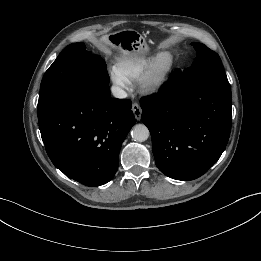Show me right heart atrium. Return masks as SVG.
Wrapping results in <instances>:
<instances>
[{"mask_svg":"<svg viewBox=\"0 0 261 261\" xmlns=\"http://www.w3.org/2000/svg\"><path fill=\"white\" fill-rule=\"evenodd\" d=\"M110 79L114 86L119 90H125L129 86V82H127L124 78H122L118 72L116 71L115 67L111 68L110 72Z\"/></svg>","mask_w":261,"mask_h":261,"instance_id":"right-heart-atrium-1","label":"right heart atrium"}]
</instances>
